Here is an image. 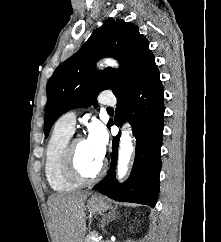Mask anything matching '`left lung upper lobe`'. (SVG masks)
Instances as JSON below:
<instances>
[{"mask_svg": "<svg viewBox=\"0 0 221 242\" xmlns=\"http://www.w3.org/2000/svg\"><path fill=\"white\" fill-rule=\"evenodd\" d=\"M114 57L120 69L106 68L95 72V63L103 57ZM155 64L148 40L132 23L108 19L93 31L82 48L58 66L47 83L44 133L47 137L54 122L65 112L93 103L98 91L124 90Z\"/></svg>", "mask_w": 221, "mask_h": 242, "instance_id": "left-lung-upper-lobe-1", "label": "left lung upper lobe"}]
</instances>
